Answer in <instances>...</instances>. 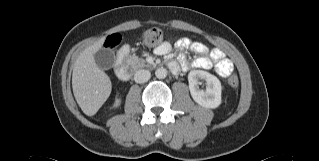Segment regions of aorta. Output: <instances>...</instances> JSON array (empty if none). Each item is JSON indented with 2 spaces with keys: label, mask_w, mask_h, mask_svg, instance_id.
Segmentation results:
<instances>
[{
  "label": "aorta",
  "mask_w": 319,
  "mask_h": 161,
  "mask_svg": "<svg viewBox=\"0 0 319 161\" xmlns=\"http://www.w3.org/2000/svg\"><path fill=\"white\" fill-rule=\"evenodd\" d=\"M155 76L158 78V79H164L166 78L167 76V70L163 67L161 68H158L156 71H155Z\"/></svg>",
  "instance_id": "1"
}]
</instances>
